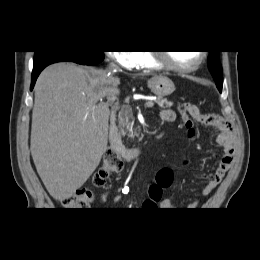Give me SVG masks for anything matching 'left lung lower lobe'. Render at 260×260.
I'll use <instances>...</instances> for the list:
<instances>
[{
  "instance_id": "left-lung-lower-lobe-1",
  "label": "left lung lower lobe",
  "mask_w": 260,
  "mask_h": 260,
  "mask_svg": "<svg viewBox=\"0 0 260 260\" xmlns=\"http://www.w3.org/2000/svg\"><path fill=\"white\" fill-rule=\"evenodd\" d=\"M219 91L222 92V88H219Z\"/></svg>"
}]
</instances>
